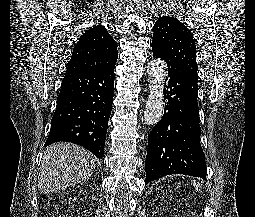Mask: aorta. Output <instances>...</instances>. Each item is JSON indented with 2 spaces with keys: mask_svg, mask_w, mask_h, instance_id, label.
<instances>
[{
  "mask_svg": "<svg viewBox=\"0 0 255 217\" xmlns=\"http://www.w3.org/2000/svg\"><path fill=\"white\" fill-rule=\"evenodd\" d=\"M149 98L144 111V121L147 125H155L163 116V89L167 76V65L162 59H154L147 69Z\"/></svg>",
  "mask_w": 255,
  "mask_h": 217,
  "instance_id": "aorta-1",
  "label": "aorta"
}]
</instances>
